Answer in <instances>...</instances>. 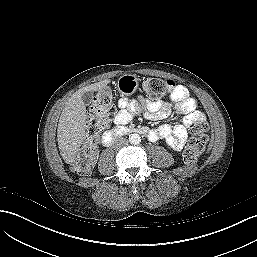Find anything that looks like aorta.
I'll list each match as a JSON object with an SVG mask.
<instances>
[{"mask_svg": "<svg viewBox=\"0 0 257 257\" xmlns=\"http://www.w3.org/2000/svg\"><path fill=\"white\" fill-rule=\"evenodd\" d=\"M129 142L131 144L137 145L141 142V137L137 133H133L129 135Z\"/></svg>", "mask_w": 257, "mask_h": 257, "instance_id": "obj_1", "label": "aorta"}]
</instances>
